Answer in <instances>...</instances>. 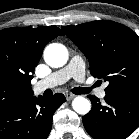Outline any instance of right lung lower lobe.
Wrapping results in <instances>:
<instances>
[{
    "instance_id": "1",
    "label": "right lung lower lobe",
    "mask_w": 139,
    "mask_h": 139,
    "mask_svg": "<svg viewBox=\"0 0 139 139\" xmlns=\"http://www.w3.org/2000/svg\"><path fill=\"white\" fill-rule=\"evenodd\" d=\"M65 101L57 93L50 99L32 96L0 107V139H46L53 114Z\"/></svg>"
}]
</instances>
